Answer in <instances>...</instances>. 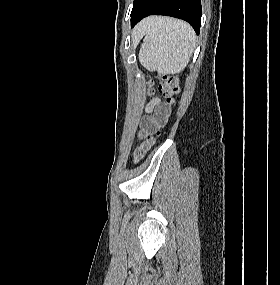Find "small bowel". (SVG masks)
Masks as SVG:
<instances>
[{
	"label": "small bowel",
	"mask_w": 280,
	"mask_h": 285,
	"mask_svg": "<svg viewBox=\"0 0 280 285\" xmlns=\"http://www.w3.org/2000/svg\"><path fill=\"white\" fill-rule=\"evenodd\" d=\"M147 113H153V116L147 118L143 123V134L147 133L149 127L157 121H164L168 115V109L163 103L155 99L146 108Z\"/></svg>",
	"instance_id": "small-bowel-1"
}]
</instances>
